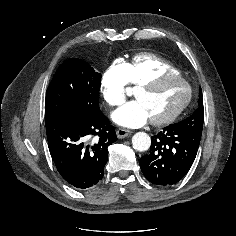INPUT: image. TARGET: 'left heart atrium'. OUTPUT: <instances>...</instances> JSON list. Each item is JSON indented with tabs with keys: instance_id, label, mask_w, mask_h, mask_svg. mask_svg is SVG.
Segmentation results:
<instances>
[{
	"instance_id": "1",
	"label": "left heart atrium",
	"mask_w": 236,
	"mask_h": 236,
	"mask_svg": "<svg viewBox=\"0 0 236 236\" xmlns=\"http://www.w3.org/2000/svg\"><path fill=\"white\" fill-rule=\"evenodd\" d=\"M112 118L121 126L136 128L144 125L150 119V115L143 102L137 99L116 110Z\"/></svg>"
}]
</instances>
